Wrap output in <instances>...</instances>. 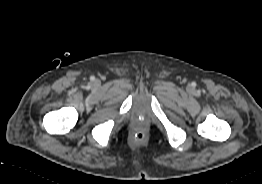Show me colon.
Returning a JSON list of instances; mask_svg holds the SVG:
<instances>
[{
	"instance_id": "5ec220e1",
	"label": "colon",
	"mask_w": 262,
	"mask_h": 184,
	"mask_svg": "<svg viewBox=\"0 0 262 184\" xmlns=\"http://www.w3.org/2000/svg\"><path fill=\"white\" fill-rule=\"evenodd\" d=\"M145 138H146V135H145L144 131H142V130H136L133 134V139L136 142H142V141L145 140Z\"/></svg>"
}]
</instances>
